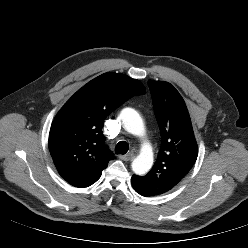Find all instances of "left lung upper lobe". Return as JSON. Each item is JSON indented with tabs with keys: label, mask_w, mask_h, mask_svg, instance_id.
<instances>
[{
	"label": "left lung upper lobe",
	"mask_w": 248,
	"mask_h": 248,
	"mask_svg": "<svg viewBox=\"0 0 248 248\" xmlns=\"http://www.w3.org/2000/svg\"><path fill=\"white\" fill-rule=\"evenodd\" d=\"M153 107L161 133V148L150 172L132 176V185L151 196L168 192L193 167L198 147L186 104L179 92L164 81L149 80Z\"/></svg>",
	"instance_id": "5c2ea615"
}]
</instances>
